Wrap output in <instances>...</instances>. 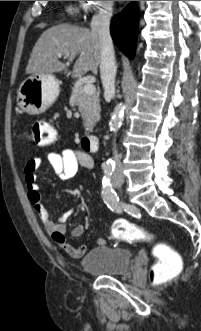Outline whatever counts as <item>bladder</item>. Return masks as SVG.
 I'll use <instances>...</instances> for the list:
<instances>
[{
  "label": "bladder",
  "mask_w": 201,
  "mask_h": 331,
  "mask_svg": "<svg viewBox=\"0 0 201 331\" xmlns=\"http://www.w3.org/2000/svg\"><path fill=\"white\" fill-rule=\"evenodd\" d=\"M132 260L128 249L98 245L82 257L80 265L85 272L99 277H121L129 271Z\"/></svg>",
  "instance_id": "31cf9c89"
}]
</instances>
